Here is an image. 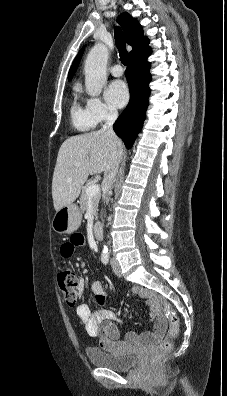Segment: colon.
<instances>
[{
    "label": "colon",
    "instance_id": "colon-1",
    "mask_svg": "<svg viewBox=\"0 0 227 396\" xmlns=\"http://www.w3.org/2000/svg\"><path fill=\"white\" fill-rule=\"evenodd\" d=\"M58 284L64 295V298L68 305L74 306L77 303L78 293V281L75 273L72 269L66 265L61 266L58 272ZM159 304L161 309L169 322L170 328L167 337L160 342V344L154 348L152 353V360L157 361L164 354L168 353L173 346V340L179 333V319L176 315L175 310L165 300L160 299Z\"/></svg>",
    "mask_w": 227,
    "mask_h": 396
}]
</instances>
